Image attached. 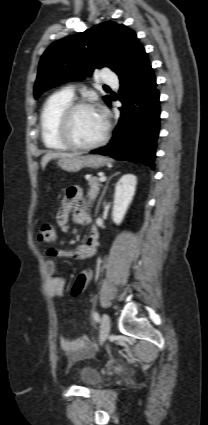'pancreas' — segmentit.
Masks as SVG:
<instances>
[{
	"mask_svg": "<svg viewBox=\"0 0 208 425\" xmlns=\"http://www.w3.org/2000/svg\"><path fill=\"white\" fill-rule=\"evenodd\" d=\"M89 191H88V198L90 201H94L99 194V190L101 187V184L98 182V179L96 177H93L89 179Z\"/></svg>",
	"mask_w": 208,
	"mask_h": 425,
	"instance_id": "pancreas-1",
	"label": "pancreas"
}]
</instances>
